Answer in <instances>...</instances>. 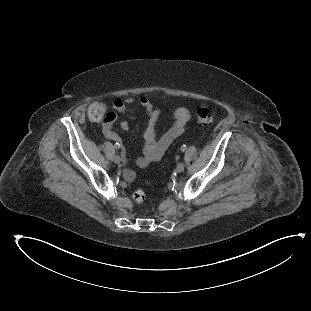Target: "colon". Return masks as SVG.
<instances>
[{
	"label": "colon",
	"instance_id": "1",
	"mask_svg": "<svg viewBox=\"0 0 311 311\" xmlns=\"http://www.w3.org/2000/svg\"><path fill=\"white\" fill-rule=\"evenodd\" d=\"M149 107V106H147ZM220 115L218 109L202 108L197 112V121L201 127H207ZM111 116L109 108L102 102H94L88 108V117L93 123L107 122ZM132 198L138 205L146 201V194L141 189H135L132 192Z\"/></svg>",
	"mask_w": 311,
	"mask_h": 311
}]
</instances>
